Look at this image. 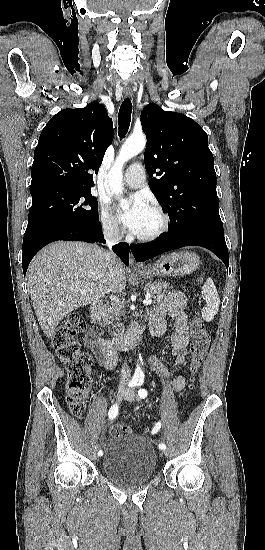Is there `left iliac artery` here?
I'll use <instances>...</instances> for the list:
<instances>
[{
  "mask_svg": "<svg viewBox=\"0 0 265 550\" xmlns=\"http://www.w3.org/2000/svg\"><path fill=\"white\" fill-rule=\"evenodd\" d=\"M143 383H144V380L141 378V379H138V380H137L136 385H137V386H141V385H143ZM147 394H148V393H147V391H146L145 389H139V391H138V396H139L140 398H146V397H147ZM160 428H161V422H158V423L155 425V427L153 428L152 434L157 433L158 430H159ZM158 448L161 449V450H164V449H166V445H165L164 443H161V444L158 445Z\"/></svg>",
  "mask_w": 265,
  "mask_h": 550,
  "instance_id": "obj_1",
  "label": "left iliac artery"
}]
</instances>
